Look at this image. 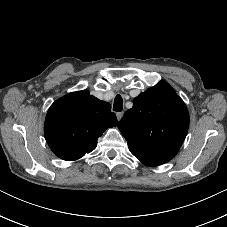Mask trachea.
Instances as JSON below:
<instances>
[{
  "mask_svg": "<svg viewBox=\"0 0 227 227\" xmlns=\"http://www.w3.org/2000/svg\"><path fill=\"white\" fill-rule=\"evenodd\" d=\"M123 109V99L120 95H117L114 99L113 110L120 112Z\"/></svg>",
  "mask_w": 227,
  "mask_h": 227,
  "instance_id": "1",
  "label": "trachea"
}]
</instances>
